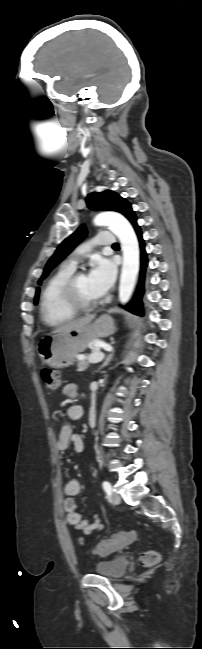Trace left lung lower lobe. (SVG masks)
Wrapping results in <instances>:
<instances>
[{
  "label": "left lung lower lobe",
  "mask_w": 202,
  "mask_h": 649,
  "mask_svg": "<svg viewBox=\"0 0 202 649\" xmlns=\"http://www.w3.org/2000/svg\"><path fill=\"white\" fill-rule=\"evenodd\" d=\"M129 221L131 222L137 236L140 242V249H141V274H140V282L137 287V291L135 293V296L133 300L124 308L128 311H130L133 314L143 316V305H142V295L144 293V274H145V269L147 266V254L145 252V247H144V240L142 238V232L140 229V226L137 224V218L135 215H133Z\"/></svg>",
  "instance_id": "0a47b994"
}]
</instances>
